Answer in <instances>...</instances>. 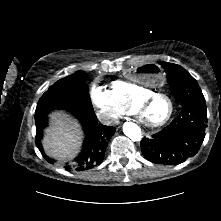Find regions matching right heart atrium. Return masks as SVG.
<instances>
[{
	"label": "right heart atrium",
	"mask_w": 221,
	"mask_h": 221,
	"mask_svg": "<svg viewBox=\"0 0 221 221\" xmlns=\"http://www.w3.org/2000/svg\"><path fill=\"white\" fill-rule=\"evenodd\" d=\"M90 95L102 120L115 122L126 113L125 108L118 103L111 92L106 88L94 84L91 87Z\"/></svg>",
	"instance_id": "1"
}]
</instances>
